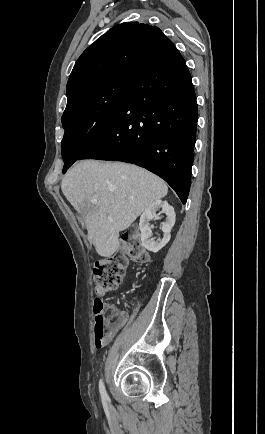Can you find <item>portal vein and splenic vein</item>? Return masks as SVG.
Wrapping results in <instances>:
<instances>
[{
  "label": "portal vein and splenic vein",
  "instance_id": "1",
  "mask_svg": "<svg viewBox=\"0 0 265 434\" xmlns=\"http://www.w3.org/2000/svg\"><path fill=\"white\" fill-rule=\"evenodd\" d=\"M128 200H133V198H128ZM91 204H97V200H90Z\"/></svg>",
  "mask_w": 265,
  "mask_h": 434
}]
</instances>
